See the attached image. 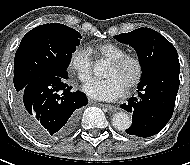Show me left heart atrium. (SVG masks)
Here are the masks:
<instances>
[{
  "instance_id": "1",
  "label": "left heart atrium",
  "mask_w": 190,
  "mask_h": 165,
  "mask_svg": "<svg viewBox=\"0 0 190 165\" xmlns=\"http://www.w3.org/2000/svg\"><path fill=\"white\" fill-rule=\"evenodd\" d=\"M83 90L94 99L111 101L120 97L125 87L117 78L111 77L105 80H94L85 85Z\"/></svg>"
}]
</instances>
